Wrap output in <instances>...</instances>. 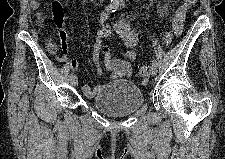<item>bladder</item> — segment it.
<instances>
[{"instance_id": "obj_1", "label": "bladder", "mask_w": 225, "mask_h": 159, "mask_svg": "<svg viewBox=\"0 0 225 159\" xmlns=\"http://www.w3.org/2000/svg\"><path fill=\"white\" fill-rule=\"evenodd\" d=\"M91 104L109 116L124 117L141 108L145 104V97L135 82L115 80L102 85L94 94Z\"/></svg>"}]
</instances>
